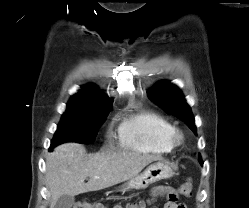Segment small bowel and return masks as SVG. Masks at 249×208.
<instances>
[{
  "mask_svg": "<svg viewBox=\"0 0 249 208\" xmlns=\"http://www.w3.org/2000/svg\"><path fill=\"white\" fill-rule=\"evenodd\" d=\"M152 192L155 196L163 195L167 198V202L165 203L164 208H183L184 204L178 203L177 195L171 187L159 186L154 188Z\"/></svg>",
  "mask_w": 249,
  "mask_h": 208,
  "instance_id": "1",
  "label": "small bowel"
}]
</instances>
